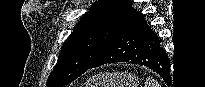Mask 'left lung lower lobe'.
<instances>
[{"mask_svg": "<svg viewBox=\"0 0 205 87\" xmlns=\"http://www.w3.org/2000/svg\"><path fill=\"white\" fill-rule=\"evenodd\" d=\"M115 62L144 65L159 73L164 81L169 80L170 61L157 33L147 26L137 9L130 10L89 69Z\"/></svg>", "mask_w": 205, "mask_h": 87, "instance_id": "obj_1", "label": "left lung lower lobe"}]
</instances>
